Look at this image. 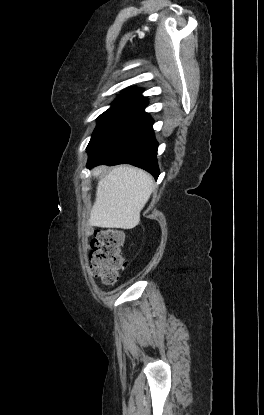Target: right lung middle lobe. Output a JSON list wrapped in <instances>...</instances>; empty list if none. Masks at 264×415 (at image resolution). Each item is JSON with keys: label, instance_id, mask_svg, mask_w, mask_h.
Wrapping results in <instances>:
<instances>
[{"label": "right lung middle lobe", "instance_id": "obj_1", "mask_svg": "<svg viewBox=\"0 0 264 415\" xmlns=\"http://www.w3.org/2000/svg\"><path fill=\"white\" fill-rule=\"evenodd\" d=\"M143 103L142 100L126 97H118L112 106L98 117L97 127L95 128L87 149L91 147L111 126L128 112Z\"/></svg>", "mask_w": 264, "mask_h": 415}]
</instances>
